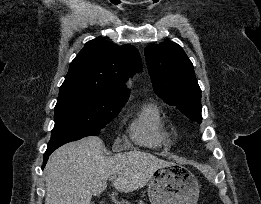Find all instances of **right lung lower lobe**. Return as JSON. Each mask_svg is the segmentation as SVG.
Wrapping results in <instances>:
<instances>
[{
    "label": "right lung lower lobe",
    "instance_id": "98d812e1",
    "mask_svg": "<svg viewBox=\"0 0 261 204\" xmlns=\"http://www.w3.org/2000/svg\"><path fill=\"white\" fill-rule=\"evenodd\" d=\"M58 147H60V146L57 145V146H48V147H47V150H46V152L44 153V161H43L42 169L44 168V166H45V164H46V162H47V160H48L49 155H50L55 149H57Z\"/></svg>",
    "mask_w": 261,
    "mask_h": 204
}]
</instances>
